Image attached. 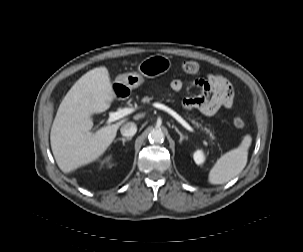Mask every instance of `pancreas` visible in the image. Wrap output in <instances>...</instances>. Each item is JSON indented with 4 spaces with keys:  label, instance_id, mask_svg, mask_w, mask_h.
<instances>
[{
    "label": "pancreas",
    "instance_id": "obj_1",
    "mask_svg": "<svg viewBox=\"0 0 303 252\" xmlns=\"http://www.w3.org/2000/svg\"><path fill=\"white\" fill-rule=\"evenodd\" d=\"M152 99H153V97L145 96V97L142 98V102L146 103V104H150ZM190 120H191V123L194 124L195 126L202 127L195 119H190ZM203 129L206 131L207 134H209V136L211 137L212 140L215 139V136H214L212 131H210L206 127H204Z\"/></svg>",
    "mask_w": 303,
    "mask_h": 252
}]
</instances>
